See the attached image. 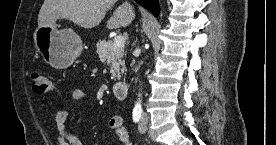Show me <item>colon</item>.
<instances>
[{"label":"colon","mask_w":276,"mask_h":145,"mask_svg":"<svg viewBox=\"0 0 276 145\" xmlns=\"http://www.w3.org/2000/svg\"><path fill=\"white\" fill-rule=\"evenodd\" d=\"M31 79L33 92L35 94H45L52 90L51 81L44 73L35 70L31 73Z\"/></svg>","instance_id":"5ec220e1"}]
</instances>
